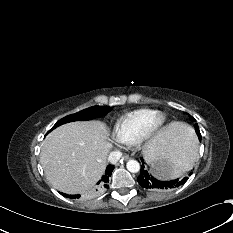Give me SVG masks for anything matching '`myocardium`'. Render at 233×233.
<instances>
[{"label":"myocardium","instance_id":"obj_1","mask_svg":"<svg viewBox=\"0 0 233 233\" xmlns=\"http://www.w3.org/2000/svg\"><path fill=\"white\" fill-rule=\"evenodd\" d=\"M167 117L163 112H156L147 122L139 140L150 141L154 138L164 127Z\"/></svg>","mask_w":233,"mask_h":233}]
</instances>
